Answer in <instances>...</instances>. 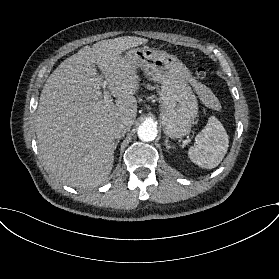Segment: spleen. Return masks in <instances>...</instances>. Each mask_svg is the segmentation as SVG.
Instances as JSON below:
<instances>
[{
	"mask_svg": "<svg viewBox=\"0 0 279 279\" xmlns=\"http://www.w3.org/2000/svg\"><path fill=\"white\" fill-rule=\"evenodd\" d=\"M199 98L206 108L221 112V104L210 89L203 87ZM228 143L225 129L215 117L211 116L206 126L195 136L194 145L188 150V157L200 168H215L226 155Z\"/></svg>",
	"mask_w": 279,
	"mask_h": 279,
	"instance_id": "1",
	"label": "spleen"
}]
</instances>
